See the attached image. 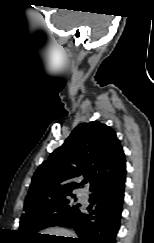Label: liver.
I'll return each instance as SVG.
<instances>
[{"instance_id": "liver-1", "label": "liver", "mask_w": 154, "mask_h": 243, "mask_svg": "<svg viewBox=\"0 0 154 243\" xmlns=\"http://www.w3.org/2000/svg\"><path fill=\"white\" fill-rule=\"evenodd\" d=\"M41 234L71 237V238H75L76 236L72 231L60 227H52V228L45 229L44 231H42ZM71 238H66V239H71Z\"/></svg>"}]
</instances>
